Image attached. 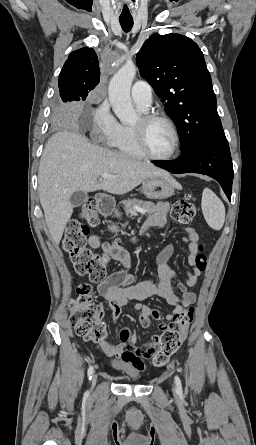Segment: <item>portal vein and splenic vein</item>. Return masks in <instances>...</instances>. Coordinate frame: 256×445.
I'll return each instance as SVG.
<instances>
[{
  "instance_id": "portal-vein-and-splenic-vein-1",
  "label": "portal vein and splenic vein",
  "mask_w": 256,
  "mask_h": 445,
  "mask_svg": "<svg viewBox=\"0 0 256 445\" xmlns=\"http://www.w3.org/2000/svg\"><path fill=\"white\" fill-rule=\"evenodd\" d=\"M101 177H102L103 179H107V178H113L114 176H113V175H110V174H108V173H103V174L101 175ZM138 211H139V212H145V210H143V209H138ZM130 214L136 216V215H137V212H136V211H131Z\"/></svg>"
}]
</instances>
